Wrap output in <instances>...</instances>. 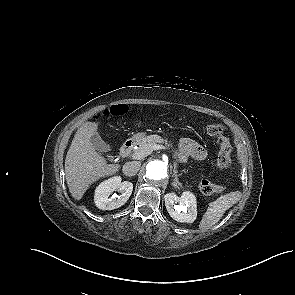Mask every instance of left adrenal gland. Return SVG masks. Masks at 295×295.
I'll return each mask as SVG.
<instances>
[{
  "label": "left adrenal gland",
  "mask_w": 295,
  "mask_h": 295,
  "mask_svg": "<svg viewBox=\"0 0 295 295\" xmlns=\"http://www.w3.org/2000/svg\"><path fill=\"white\" fill-rule=\"evenodd\" d=\"M172 186H174L175 188H179L175 179H174V182L172 183Z\"/></svg>",
  "instance_id": "a2214340"
}]
</instances>
